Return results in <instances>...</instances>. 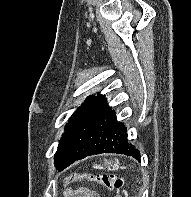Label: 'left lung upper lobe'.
<instances>
[{
	"label": "left lung upper lobe",
	"mask_w": 191,
	"mask_h": 197,
	"mask_svg": "<svg viewBox=\"0 0 191 197\" xmlns=\"http://www.w3.org/2000/svg\"><path fill=\"white\" fill-rule=\"evenodd\" d=\"M103 95L98 94V96H89L87 98V100L89 99H100L102 98ZM85 103V102H84ZM73 115L71 116V118L68 121V124L66 125V129L65 132L62 136V139L59 142V146H58V150L55 154V165L56 167H58L59 163L63 160H65L66 158H68L70 156V154L72 153L73 148L70 145V142L68 141V136H67V131H68V126L72 120Z\"/></svg>",
	"instance_id": "1"
}]
</instances>
